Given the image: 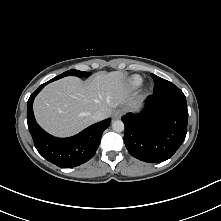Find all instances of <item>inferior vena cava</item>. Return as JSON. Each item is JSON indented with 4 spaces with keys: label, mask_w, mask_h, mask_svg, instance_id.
I'll list each match as a JSON object with an SVG mask.
<instances>
[{
    "label": "inferior vena cava",
    "mask_w": 221,
    "mask_h": 221,
    "mask_svg": "<svg viewBox=\"0 0 221 221\" xmlns=\"http://www.w3.org/2000/svg\"><path fill=\"white\" fill-rule=\"evenodd\" d=\"M105 118H106V115H105L103 112H101V111H97V112H95V113L92 114V119H93L95 122L101 121V120H103V119H105Z\"/></svg>",
    "instance_id": "1"
}]
</instances>
